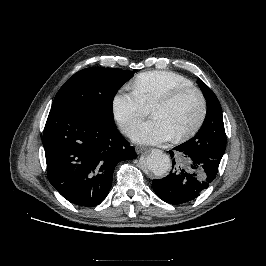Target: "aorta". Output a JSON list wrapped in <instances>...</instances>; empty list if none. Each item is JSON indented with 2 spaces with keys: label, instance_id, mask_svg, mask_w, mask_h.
Wrapping results in <instances>:
<instances>
[{
  "label": "aorta",
  "instance_id": "762f6f07",
  "mask_svg": "<svg viewBox=\"0 0 266 266\" xmlns=\"http://www.w3.org/2000/svg\"><path fill=\"white\" fill-rule=\"evenodd\" d=\"M145 163L147 168L157 176L167 173L171 165L169 156L159 149H153L146 157Z\"/></svg>",
  "mask_w": 266,
  "mask_h": 266
}]
</instances>
